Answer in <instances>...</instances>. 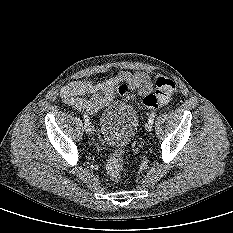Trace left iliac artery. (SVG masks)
I'll use <instances>...</instances> for the list:
<instances>
[{"label":"left iliac artery","instance_id":"obj_1","mask_svg":"<svg viewBox=\"0 0 233 233\" xmlns=\"http://www.w3.org/2000/svg\"><path fill=\"white\" fill-rule=\"evenodd\" d=\"M154 118H155V113H152V114L150 115V117H149L148 122L153 124Z\"/></svg>","mask_w":233,"mask_h":233}]
</instances>
